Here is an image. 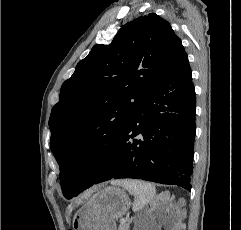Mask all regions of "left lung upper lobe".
Listing matches in <instances>:
<instances>
[{
    "mask_svg": "<svg viewBox=\"0 0 241 230\" xmlns=\"http://www.w3.org/2000/svg\"><path fill=\"white\" fill-rule=\"evenodd\" d=\"M184 53L169 22L151 13L124 25L111 44L94 46L77 64L49 119L67 199L77 195L75 162L96 142L116 141L140 101Z\"/></svg>",
    "mask_w": 241,
    "mask_h": 230,
    "instance_id": "5c2ea615",
    "label": "left lung upper lobe"
}]
</instances>
